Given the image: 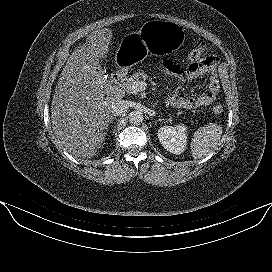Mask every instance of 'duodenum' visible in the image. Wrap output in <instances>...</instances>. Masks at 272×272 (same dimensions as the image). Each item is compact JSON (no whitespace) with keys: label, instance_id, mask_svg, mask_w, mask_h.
Instances as JSON below:
<instances>
[{"label":"duodenum","instance_id":"1","mask_svg":"<svg viewBox=\"0 0 272 272\" xmlns=\"http://www.w3.org/2000/svg\"><path fill=\"white\" fill-rule=\"evenodd\" d=\"M126 69L124 67H119L116 69L115 73H114V80L116 82H122L126 76Z\"/></svg>","mask_w":272,"mask_h":272}]
</instances>
